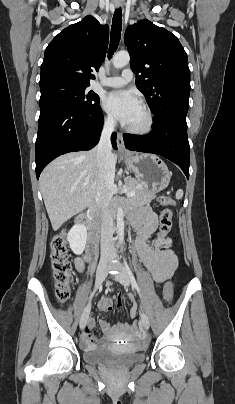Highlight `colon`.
<instances>
[{
	"label": "colon",
	"mask_w": 235,
	"mask_h": 404,
	"mask_svg": "<svg viewBox=\"0 0 235 404\" xmlns=\"http://www.w3.org/2000/svg\"><path fill=\"white\" fill-rule=\"evenodd\" d=\"M160 205L164 206V209L160 215L159 224V237H166L172 227L173 212L170 206L173 205V201L166 197L161 196L158 198ZM51 265L53 272V280L55 287V294L59 302L65 303L71 297V264L68 258V241L65 233L55 235L51 240ZM173 283L171 280L167 281L163 293V300L169 302L172 298ZM137 328L138 324H133Z\"/></svg>",
	"instance_id": "colon-1"
}]
</instances>
